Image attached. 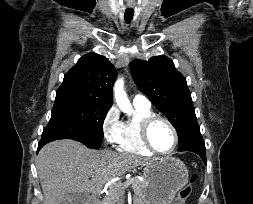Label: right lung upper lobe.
<instances>
[{
	"label": "right lung upper lobe",
	"mask_w": 253,
	"mask_h": 204,
	"mask_svg": "<svg viewBox=\"0 0 253 204\" xmlns=\"http://www.w3.org/2000/svg\"><path fill=\"white\" fill-rule=\"evenodd\" d=\"M116 76L114 66L106 57L89 53L82 56L77 64L65 74L58 91L74 92L111 107L112 88Z\"/></svg>",
	"instance_id": "right-lung-upper-lobe-1"
}]
</instances>
